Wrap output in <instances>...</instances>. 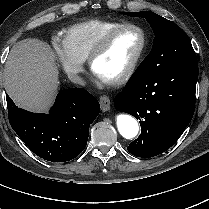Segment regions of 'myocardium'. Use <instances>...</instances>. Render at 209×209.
I'll use <instances>...</instances> for the list:
<instances>
[{"mask_svg": "<svg viewBox=\"0 0 209 209\" xmlns=\"http://www.w3.org/2000/svg\"><path fill=\"white\" fill-rule=\"evenodd\" d=\"M128 29L137 30L141 34L140 47H139L138 51L136 52L135 56L133 57L132 61L130 62L129 66L125 69L124 72H122L120 75H118L114 78H103V77L98 76L95 73V69H94L95 62L107 49L113 36L122 30H128ZM147 43H148V36H147L146 31L142 27H140L136 24H132V23L117 24L114 27L110 28L108 31H106L102 35V37L99 39L97 44L94 46V48L92 49V51L89 54L88 59H87L89 68L92 71V73L94 75H96V77L100 81H102L103 83L108 84V85H121V84L129 81L136 73L138 66L144 56V53H145V50L147 47Z\"/></svg>", "mask_w": 209, "mask_h": 209, "instance_id": "1", "label": "myocardium"}]
</instances>
